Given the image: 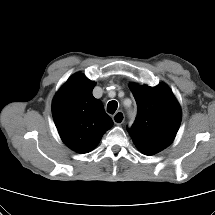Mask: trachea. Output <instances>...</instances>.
Here are the masks:
<instances>
[{"instance_id":"trachea-1","label":"trachea","mask_w":215,"mask_h":215,"mask_svg":"<svg viewBox=\"0 0 215 215\" xmlns=\"http://www.w3.org/2000/svg\"><path fill=\"white\" fill-rule=\"evenodd\" d=\"M118 107V103L116 101H110L107 105V112L110 114H114Z\"/></svg>"}]
</instances>
